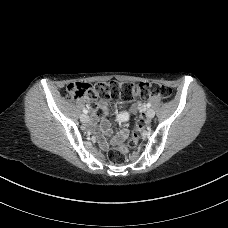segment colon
Segmentation results:
<instances>
[{"label": "colon", "instance_id": "5ec220e1", "mask_svg": "<svg viewBox=\"0 0 228 228\" xmlns=\"http://www.w3.org/2000/svg\"><path fill=\"white\" fill-rule=\"evenodd\" d=\"M67 97L71 100L87 98L90 101V108L95 115H100L98 99L115 98L129 101L134 97L148 99L159 97L168 99L172 95L169 87L156 82H143L134 84L130 82H99L91 85L86 82H73L67 88ZM146 121L141 117L136 124L135 130L128 140L127 145H120L112 148L108 153V159L113 164H122L125 161V154L129 148H134L138 144L140 132L145 128Z\"/></svg>", "mask_w": 228, "mask_h": 228}]
</instances>
